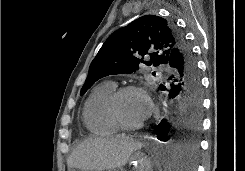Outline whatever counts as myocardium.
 <instances>
[{"label":"myocardium","mask_w":245,"mask_h":171,"mask_svg":"<svg viewBox=\"0 0 245 171\" xmlns=\"http://www.w3.org/2000/svg\"><path fill=\"white\" fill-rule=\"evenodd\" d=\"M130 92L139 93L142 96H144L147 101L149 100L146 90L138 85H125L118 89H115V91L111 94L108 100V112L111 119L114 121V123L117 125L119 129L127 131L138 130L144 126V121L138 124H128L125 121H123V119L120 116L119 102L125 94Z\"/></svg>","instance_id":"f54148a6"}]
</instances>
